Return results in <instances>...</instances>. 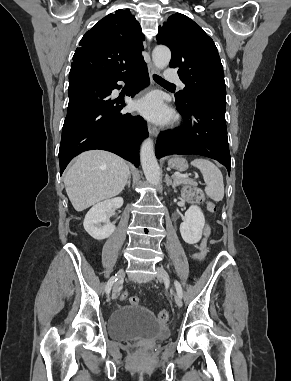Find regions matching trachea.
I'll list each match as a JSON object with an SVG mask.
<instances>
[{"instance_id":"trachea-1","label":"trachea","mask_w":291,"mask_h":381,"mask_svg":"<svg viewBox=\"0 0 291 381\" xmlns=\"http://www.w3.org/2000/svg\"><path fill=\"white\" fill-rule=\"evenodd\" d=\"M153 79L155 80V82L159 83V84H171L169 83L168 81L164 80L162 77L154 74L153 75Z\"/></svg>"}]
</instances>
